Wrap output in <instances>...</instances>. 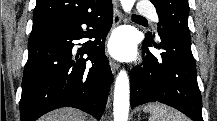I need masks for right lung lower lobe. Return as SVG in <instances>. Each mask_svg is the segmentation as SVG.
Here are the masks:
<instances>
[{"mask_svg": "<svg viewBox=\"0 0 217 121\" xmlns=\"http://www.w3.org/2000/svg\"><path fill=\"white\" fill-rule=\"evenodd\" d=\"M112 22V1L104 0L74 19L32 30L22 80L21 121H35L60 107L78 108L101 118L112 82L104 53ZM87 37L95 40L76 51L73 41Z\"/></svg>", "mask_w": 217, "mask_h": 121, "instance_id": "obj_1", "label": "right lung lower lobe"}]
</instances>
